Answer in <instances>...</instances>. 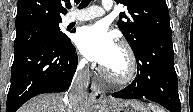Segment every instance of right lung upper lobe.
I'll return each mask as SVG.
<instances>
[{"instance_id":"1","label":"right lung upper lobe","mask_w":193,"mask_h":112,"mask_svg":"<svg viewBox=\"0 0 193 112\" xmlns=\"http://www.w3.org/2000/svg\"><path fill=\"white\" fill-rule=\"evenodd\" d=\"M69 0H18L16 30L59 24L67 13L64 5Z\"/></svg>"}]
</instances>
